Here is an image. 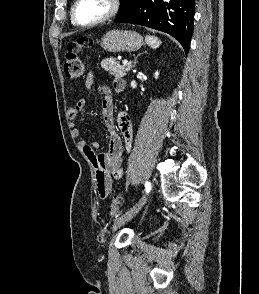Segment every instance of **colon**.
Wrapping results in <instances>:
<instances>
[{"label":"colon","mask_w":259,"mask_h":294,"mask_svg":"<svg viewBox=\"0 0 259 294\" xmlns=\"http://www.w3.org/2000/svg\"><path fill=\"white\" fill-rule=\"evenodd\" d=\"M93 42L90 38L83 37L68 45L65 54L64 73L70 80H79L84 75V64L80 58L81 52L91 48ZM123 205V196L116 194L108 208V216L113 218Z\"/></svg>","instance_id":"obj_1"}]
</instances>
